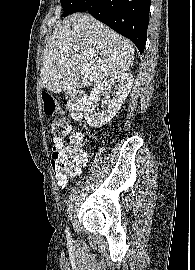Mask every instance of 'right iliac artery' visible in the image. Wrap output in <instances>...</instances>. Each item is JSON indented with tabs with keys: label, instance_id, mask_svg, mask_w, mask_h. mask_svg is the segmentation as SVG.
<instances>
[{
	"label": "right iliac artery",
	"instance_id": "82829eb1",
	"mask_svg": "<svg viewBox=\"0 0 195 270\" xmlns=\"http://www.w3.org/2000/svg\"><path fill=\"white\" fill-rule=\"evenodd\" d=\"M66 235H67V239L70 240L71 236H70V232H69V228L66 227Z\"/></svg>",
	"mask_w": 195,
	"mask_h": 270
}]
</instances>
